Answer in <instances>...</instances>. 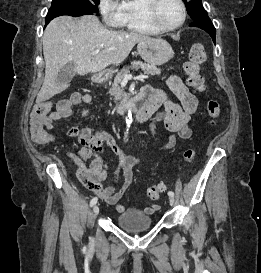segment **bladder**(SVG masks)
I'll use <instances>...</instances> for the list:
<instances>
[{"mask_svg":"<svg viewBox=\"0 0 261 273\" xmlns=\"http://www.w3.org/2000/svg\"><path fill=\"white\" fill-rule=\"evenodd\" d=\"M116 224L126 231L140 232L152 227L153 218L144 212V210L132 208L119 215L116 218Z\"/></svg>","mask_w":261,"mask_h":273,"instance_id":"obj_1","label":"bladder"}]
</instances>
